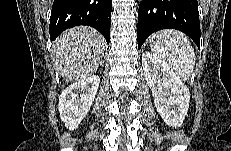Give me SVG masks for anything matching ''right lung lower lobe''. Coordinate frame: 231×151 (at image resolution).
I'll return each mask as SVG.
<instances>
[{
    "instance_id": "1",
    "label": "right lung lower lobe",
    "mask_w": 231,
    "mask_h": 151,
    "mask_svg": "<svg viewBox=\"0 0 231 151\" xmlns=\"http://www.w3.org/2000/svg\"><path fill=\"white\" fill-rule=\"evenodd\" d=\"M112 0H54L50 17V39L54 41L64 30L87 25L110 41Z\"/></svg>"
}]
</instances>
